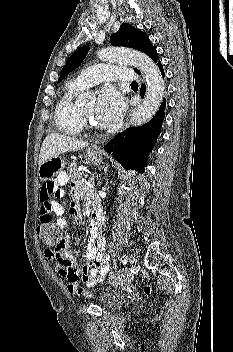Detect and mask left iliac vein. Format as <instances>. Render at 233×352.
Masks as SVG:
<instances>
[{"label": "left iliac vein", "mask_w": 233, "mask_h": 352, "mask_svg": "<svg viewBox=\"0 0 233 352\" xmlns=\"http://www.w3.org/2000/svg\"><path fill=\"white\" fill-rule=\"evenodd\" d=\"M136 262H137V259H136L135 255L131 254L129 256V263L130 264H135Z\"/></svg>", "instance_id": "1"}]
</instances>
